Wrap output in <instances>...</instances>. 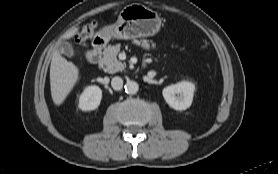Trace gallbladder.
<instances>
[{
    "label": "gallbladder",
    "mask_w": 278,
    "mask_h": 174,
    "mask_svg": "<svg viewBox=\"0 0 278 174\" xmlns=\"http://www.w3.org/2000/svg\"><path fill=\"white\" fill-rule=\"evenodd\" d=\"M57 51L60 53V54H63L67 57H73L76 55V52L75 50L73 49L72 45L69 43V42H60L58 45H57Z\"/></svg>",
    "instance_id": "gallbladder-1"
}]
</instances>
